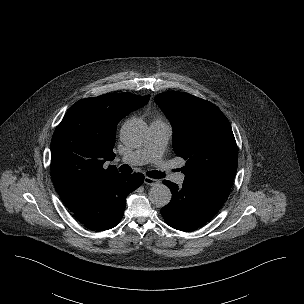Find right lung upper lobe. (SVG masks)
I'll list each match as a JSON object with an SVG mask.
<instances>
[{
  "label": "right lung upper lobe",
  "mask_w": 304,
  "mask_h": 304,
  "mask_svg": "<svg viewBox=\"0 0 304 304\" xmlns=\"http://www.w3.org/2000/svg\"><path fill=\"white\" fill-rule=\"evenodd\" d=\"M150 95L111 93L73 104L57 126L51 140V174L54 185L73 212L80 208L116 167L103 168L115 154L118 122L146 105Z\"/></svg>",
  "instance_id": "right-lung-upper-lobe-1"
}]
</instances>
